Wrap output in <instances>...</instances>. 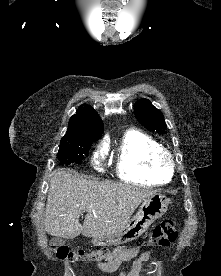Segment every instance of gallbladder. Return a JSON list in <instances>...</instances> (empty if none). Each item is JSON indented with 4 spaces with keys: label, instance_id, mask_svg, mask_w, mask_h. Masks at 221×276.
Masks as SVG:
<instances>
[{
    "label": "gallbladder",
    "instance_id": "obj_1",
    "mask_svg": "<svg viewBox=\"0 0 221 276\" xmlns=\"http://www.w3.org/2000/svg\"><path fill=\"white\" fill-rule=\"evenodd\" d=\"M50 243L56 247L61 246L65 243V241L60 237H54L51 239Z\"/></svg>",
    "mask_w": 221,
    "mask_h": 276
}]
</instances>
